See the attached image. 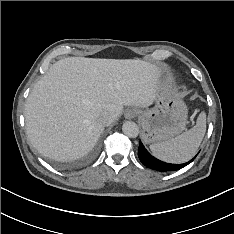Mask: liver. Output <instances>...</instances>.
Here are the masks:
<instances>
[{
	"label": "liver",
	"mask_w": 234,
	"mask_h": 234,
	"mask_svg": "<svg viewBox=\"0 0 234 234\" xmlns=\"http://www.w3.org/2000/svg\"><path fill=\"white\" fill-rule=\"evenodd\" d=\"M159 76L156 65L139 59L59 60L27 98L24 116L28 138L45 157H82L104 130L105 125L98 121L100 115L108 112L115 120L124 106H150L157 97Z\"/></svg>",
	"instance_id": "obj_1"
}]
</instances>
